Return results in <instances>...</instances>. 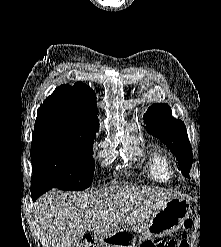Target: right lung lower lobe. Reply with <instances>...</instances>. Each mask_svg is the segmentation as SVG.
Listing matches in <instances>:
<instances>
[{
    "mask_svg": "<svg viewBox=\"0 0 221 247\" xmlns=\"http://www.w3.org/2000/svg\"><path fill=\"white\" fill-rule=\"evenodd\" d=\"M50 189H52V187L50 185H48L47 183H45L41 180L32 178L31 197H32L33 201H35L40 195L44 194L45 192H47Z\"/></svg>",
    "mask_w": 221,
    "mask_h": 247,
    "instance_id": "1",
    "label": "right lung lower lobe"
}]
</instances>
